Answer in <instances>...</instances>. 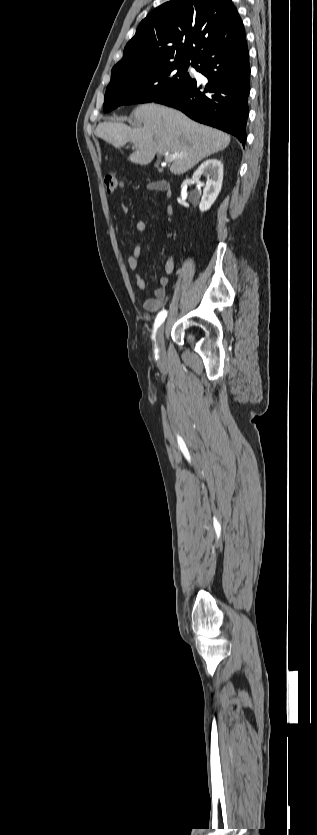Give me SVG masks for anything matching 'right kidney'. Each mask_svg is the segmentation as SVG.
I'll use <instances>...</instances> for the list:
<instances>
[{
    "label": "right kidney",
    "mask_w": 317,
    "mask_h": 835,
    "mask_svg": "<svg viewBox=\"0 0 317 835\" xmlns=\"http://www.w3.org/2000/svg\"><path fill=\"white\" fill-rule=\"evenodd\" d=\"M206 176L207 181L203 190V196L199 205L201 212L210 209L217 199L223 181V164L216 158L204 161L192 176L193 182L200 183V177Z\"/></svg>",
    "instance_id": "right-kidney-1"
}]
</instances>
